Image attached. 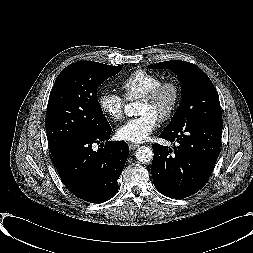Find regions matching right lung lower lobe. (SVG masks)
Segmentation results:
<instances>
[{"label":"right lung lower lobe","mask_w":253,"mask_h":253,"mask_svg":"<svg viewBox=\"0 0 253 253\" xmlns=\"http://www.w3.org/2000/svg\"><path fill=\"white\" fill-rule=\"evenodd\" d=\"M111 132L108 125L96 133H81L51 152L67 189L91 203L105 202L117 193V180L129 154L126 142L108 141ZM95 143L102 148L94 151L92 147Z\"/></svg>","instance_id":"98d812e1"}]
</instances>
